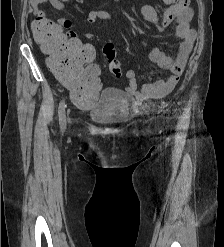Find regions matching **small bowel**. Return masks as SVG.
Returning <instances> with one entry per match:
<instances>
[{"mask_svg": "<svg viewBox=\"0 0 224 247\" xmlns=\"http://www.w3.org/2000/svg\"><path fill=\"white\" fill-rule=\"evenodd\" d=\"M34 9V14H41L40 6L49 3L55 10L62 11L64 3L68 0H30ZM169 5V8L160 18L156 10L150 5H143L140 14L144 20L154 25L158 30H172L173 34L181 40L176 55H167L158 48H152L147 57L150 61L158 64L163 69L170 71V75L163 80L143 85L139 90L137 88L136 74L133 70H127L125 77L127 79L126 91L137 100L161 98L170 93L182 74L187 59L192 51L196 33L191 28L190 22L193 12L189 7V0H162ZM98 19L114 22V18L108 12L102 10L91 11L87 16L89 23H94ZM59 27L66 30V36L75 41H80L75 31L72 29L70 20L63 15L56 23ZM173 25V28L170 26Z\"/></svg>", "mask_w": 224, "mask_h": 247, "instance_id": "obj_1", "label": "small bowel"}]
</instances>
